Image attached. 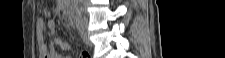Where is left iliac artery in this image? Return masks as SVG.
<instances>
[{
    "label": "left iliac artery",
    "mask_w": 225,
    "mask_h": 58,
    "mask_svg": "<svg viewBox=\"0 0 225 58\" xmlns=\"http://www.w3.org/2000/svg\"><path fill=\"white\" fill-rule=\"evenodd\" d=\"M76 26H77V29L79 31H82L84 29V24L82 23V20L81 18H78L77 21H76Z\"/></svg>",
    "instance_id": "left-iliac-artery-1"
}]
</instances>
